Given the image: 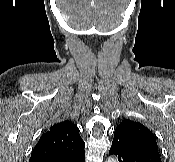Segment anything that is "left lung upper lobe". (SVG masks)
<instances>
[{"label": "left lung upper lobe", "instance_id": "1", "mask_svg": "<svg viewBox=\"0 0 175 162\" xmlns=\"http://www.w3.org/2000/svg\"><path fill=\"white\" fill-rule=\"evenodd\" d=\"M113 141L126 147L149 146L157 149L152 132L144 125L125 119L115 129Z\"/></svg>", "mask_w": 175, "mask_h": 162}]
</instances>
